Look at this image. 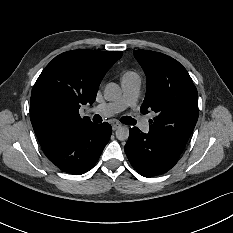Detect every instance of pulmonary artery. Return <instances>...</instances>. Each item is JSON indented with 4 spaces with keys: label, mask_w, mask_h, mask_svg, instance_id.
<instances>
[{
    "label": "pulmonary artery",
    "mask_w": 233,
    "mask_h": 233,
    "mask_svg": "<svg viewBox=\"0 0 233 233\" xmlns=\"http://www.w3.org/2000/svg\"><path fill=\"white\" fill-rule=\"evenodd\" d=\"M121 86L123 90V98L121 100L114 103L97 106L92 109V112L109 116L127 107L135 106L140 94L141 81H122ZM139 128L145 134L150 132V125L147 121H141Z\"/></svg>",
    "instance_id": "pulmonary-artery-1"
}]
</instances>
